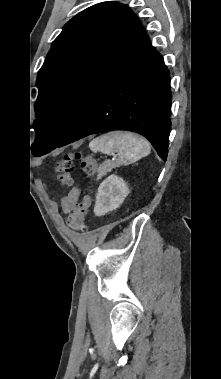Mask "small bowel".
Wrapping results in <instances>:
<instances>
[{"label":"small bowel","instance_id":"1","mask_svg":"<svg viewBox=\"0 0 221 379\" xmlns=\"http://www.w3.org/2000/svg\"><path fill=\"white\" fill-rule=\"evenodd\" d=\"M80 191L78 188H72L62 199V209L65 213H70L78 203Z\"/></svg>","mask_w":221,"mask_h":379}]
</instances>
